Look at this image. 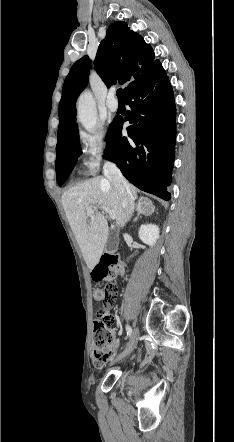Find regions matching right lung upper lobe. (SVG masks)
Returning <instances> with one entry per match:
<instances>
[{"instance_id": "obj_1", "label": "right lung upper lobe", "mask_w": 234, "mask_h": 442, "mask_svg": "<svg viewBox=\"0 0 234 442\" xmlns=\"http://www.w3.org/2000/svg\"><path fill=\"white\" fill-rule=\"evenodd\" d=\"M159 63L154 60L151 46L139 34L130 30L126 22L118 21L109 26L105 39L99 45L95 69L109 87L117 81L120 84L134 81L149 73ZM90 64L89 57L83 56L74 63L65 79L58 110L56 148L65 144L78 130L75 103L88 82Z\"/></svg>"}]
</instances>
